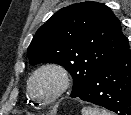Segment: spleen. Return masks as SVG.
I'll use <instances>...</instances> for the list:
<instances>
[{
  "mask_svg": "<svg viewBox=\"0 0 131 115\" xmlns=\"http://www.w3.org/2000/svg\"><path fill=\"white\" fill-rule=\"evenodd\" d=\"M82 115H111L106 110L98 108H83L81 110Z\"/></svg>",
  "mask_w": 131,
  "mask_h": 115,
  "instance_id": "3e777b00",
  "label": "spleen"
}]
</instances>
